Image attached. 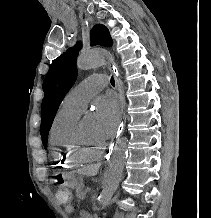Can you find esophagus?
<instances>
[{"label": "esophagus", "mask_w": 211, "mask_h": 218, "mask_svg": "<svg viewBox=\"0 0 211 218\" xmlns=\"http://www.w3.org/2000/svg\"><path fill=\"white\" fill-rule=\"evenodd\" d=\"M110 70L114 74L116 87H117V90L119 92L120 103H121V109H119L120 117H127L128 113L126 112V109H124V106H125L124 91H123V87L121 85L123 82L121 80H119V78H118V77L122 76V73L121 72H116L115 69L113 67H111V66H110ZM120 122L121 123H119V125H118L119 126L118 130L119 131H124L125 127H126L125 123L127 122V119L126 118H121ZM119 136H120L119 132H114L111 143L112 144H117ZM114 149H115L114 145H109L108 148H106V152L103 153V156H104V159L102 160L103 164H108L109 160H112V153H114Z\"/></svg>", "instance_id": "esophagus-1"}]
</instances>
